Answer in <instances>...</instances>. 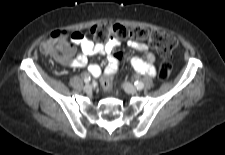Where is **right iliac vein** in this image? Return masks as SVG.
<instances>
[{
    "instance_id": "1",
    "label": "right iliac vein",
    "mask_w": 225,
    "mask_h": 155,
    "mask_svg": "<svg viewBox=\"0 0 225 155\" xmlns=\"http://www.w3.org/2000/svg\"><path fill=\"white\" fill-rule=\"evenodd\" d=\"M84 91L87 92V93L91 92L92 91V86L90 84H86L84 86Z\"/></svg>"
}]
</instances>
